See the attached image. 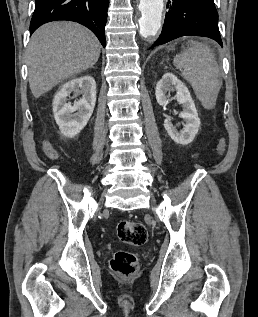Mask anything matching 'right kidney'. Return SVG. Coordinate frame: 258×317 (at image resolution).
<instances>
[{
	"mask_svg": "<svg viewBox=\"0 0 258 317\" xmlns=\"http://www.w3.org/2000/svg\"><path fill=\"white\" fill-rule=\"evenodd\" d=\"M71 92L83 94L74 104L67 102ZM96 102V82L93 76L84 74L79 78H72L62 84L53 98L54 118L64 136L73 138L86 126ZM78 110V112H75Z\"/></svg>",
	"mask_w": 258,
	"mask_h": 317,
	"instance_id": "obj_1",
	"label": "right kidney"
}]
</instances>
